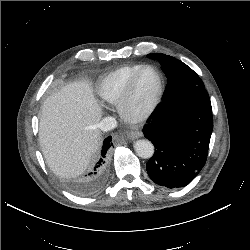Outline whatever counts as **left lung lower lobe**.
<instances>
[{
    "label": "left lung lower lobe",
    "instance_id": "0a47b994",
    "mask_svg": "<svg viewBox=\"0 0 250 250\" xmlns=\"http://www.w3.org/2000/svg\"><path fill=\"white\" fill-rule=\"evenodd\" d=\"M212 130V107L204 88L163 101L143 130L155 146L146 165L149 177L167 188L188 185L206 162Z\"/></svg>",
    "mask_w": 250,
    "mask_h": 250
}]
</instances>
